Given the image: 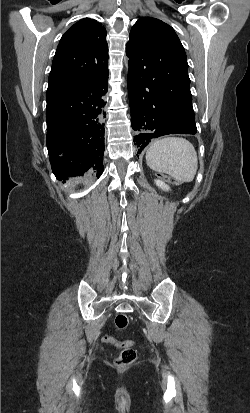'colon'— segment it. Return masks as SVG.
<instances>
[{"mask_svg":"<svg viewBox=\"0 0 250 413\" xmlns=\"http://www.w3.org/2000/svg\"><path fill=\"white\" fill-rule=\"evenodd\" d=\"M156 178L162 183H170L172 187H182L184 181L182 178H176L174 174H167L165 171H158L156 173ZM129 325V318L127 315L119 314L115 317L114 326L117 330H123ZM103 342L108 344H113L121 348L119 356L115 359L114 364L117 367L123 368L130 365L137 356V351L134 347V342L127 340L124 342H117L111 336H104Z\"/></svg>","mask_w":250,"mask_h":413,"instance_id":"1","label":"colon"}]
</instances>
